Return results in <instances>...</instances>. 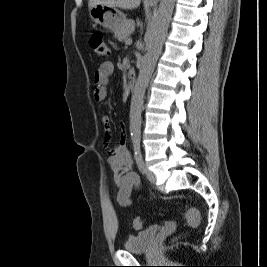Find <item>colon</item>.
Returning <instances> with one entry per match:
<instances>
[{
  "mask_svg": "<svg viewBox=\"0 0 267 267\" xmlns=\"http://www.w3.org/2000/svg\"><path fill=\"white\" fill-rule=\"evenodd\" d=\"M89 44L94 52L100 57H107L110 54V47L104 41L101 34H94L89 40ZM186 219L190 226H197L200 222V214L194 207H187ZM143 219L141 217H135L132 221V225L135 229H141L143 227Z\"/></svg>",
  "mask_w": 267,
  "mask_h": 267,
  "instance_id": "1",
  "label": "colon"
}]
</instances>
